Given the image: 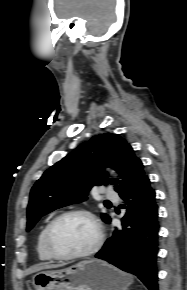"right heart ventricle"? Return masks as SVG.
<instances>
[{"instance_id":"right-heart-ventricle-1","label":"right heart ventricle","mask_w":187,"mask_h":290,"mask_svg":"<svg viewBox=\"0 0 187 290\" xmlns=\"http://www.w3.org/2000/svg\"><path fill=\"white\" fill-rule=\"evenodd\" d=\"M47 225H45L37 238V243H36V251L38 254V257L40 260L42 261H52L54 260V258L48 253L46 246H45V241H44V237H45V231H46Z\"/></svg>"}]
</instances>
